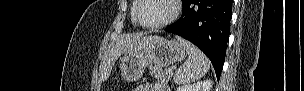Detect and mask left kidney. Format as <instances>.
I'll return each mask as SVG.
<instances>
[{
  "label": "left kidney",
  "instance_id": "5707ae66",
  "mask_svg": "<svg viewBox=\"0 0 304 91\" xmlns=\"http://www.w3.org/2000/svg\"><path fill=\"white\" fill-rule=\"evenodd\" d=\"M212 87L211 80H204L196 84L183 85L177 88V91H210Z\"/></svg>",
  "mask_w": 304,
  "mask_h": 91
}]
</instances>
